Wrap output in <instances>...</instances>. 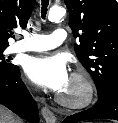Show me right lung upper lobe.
<instances>
[{"label":"right lung upper lobe","mask_w":118,"mask_h":123,"mask_svg":"<svg viewBox=\"0 0 118 123\" xmlns=\"http://www.w3.org/2000/svg\"><path fill=\"white\" fill-rule=\"evenodd\" d=\"M35 0H0V48L9 46L12 30L26 28Z\"/></svg>","instance_id":"cb5924a9"}]
</instances>
